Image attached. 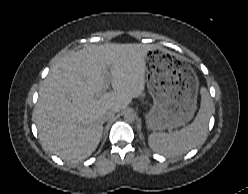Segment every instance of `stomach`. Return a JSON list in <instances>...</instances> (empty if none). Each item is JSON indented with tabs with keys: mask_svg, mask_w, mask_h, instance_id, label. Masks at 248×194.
I'll use <instances>...</instances> for the list:
<instances>
[{
	"mask_svg": "<svg viewBox=\"0 0 248 194\" xmlns=\"http://www.w3.org/2000/svg\"><path fill=\"white\" fill-rule=\"evenodd\" d=\"M147 88L153 106L146 114L149 129L162 131L186 125L197 109L199 81L193 68L175 54L154 48L145 55Z\"/></svg>",
	"mask_w": 248,
	"mask_h": 194,
	"instance_id": "stomach-1",
	"label": "stomach"
}]
</instances>
